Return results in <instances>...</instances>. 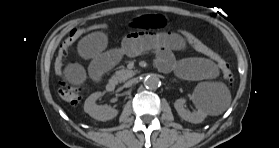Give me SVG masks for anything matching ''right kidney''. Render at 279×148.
<instances>
[{
	"label": "right kidney",
	"instance_id": "right-kidney-1",
	"mask_svg": "<svg viewBox=\"0 0 279 148\" xmlns=\"http://www.w3.org/2000/svg\"><path fill=\"white\" fill-rule=\"evenodd\" d=\"M101 96V92L91 94L84 103V111L98 121H107L115 118L118 115V110L96 104V100Z\"/></svg>",
	"mask_w": 279,
	"mask_h": 148
}]
</instances>
